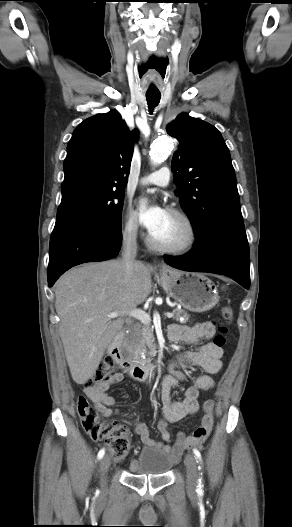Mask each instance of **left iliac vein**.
<instances>
[{
	"label": "left iliac vein",
	"mask_w": 292,
	"mask_h": 527,
	"mask_svg": "<svg viewBox=\"0 0 292 527\" xmlns=\"http://www.w3.org/2000/svg\"><path fill=\"white\" fill-rule=\"evenodd\" d=\"M185 465L187 468V489L189 492H194L197 485L198 473L196 459L193 455H186Z\"/></svg>",
	"instance_id": "obj_1"
}]
</instances>
